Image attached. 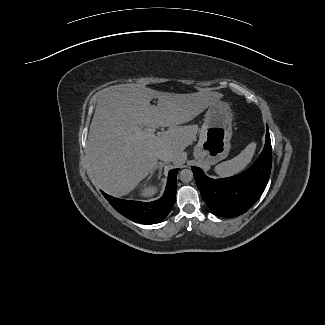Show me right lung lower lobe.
I'll list each match as a JSON object with an SVG mask.
<instances>
[{
    "instance_id": "right-lung-lower-lobe-1",
    "label": "right lung lower lobe",
    "mask_w": 325,
    "mask_h": 325,
    "mask_svg": "<svg viewBox=\"0 0 325 325\" xmlns=\"http://www.w3.org/2000/svg\"><path fill=\"white\" fill-rule=\"evenodd\" d=\"M178 169L169 171L168 180L163 196L153 202L145 203L114 198L102 192L107 201L120 214L141 224H155L162 221L174 205L177 189Z\"/></svg>"
}]
</instances>
